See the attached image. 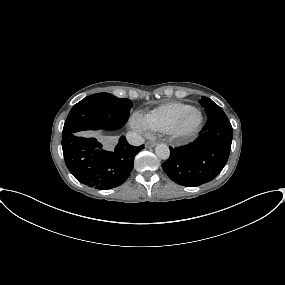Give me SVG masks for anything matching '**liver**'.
I'll return each instance as SVG.
<instances>
[{
  "label": "liver",
  "instance_id": "liver-1",
  "mask_svg": "<svg viewBox=\"0 0 285 285\" xmlns=\"http://www.w3.org/2000/svg\"><path fill=\"white\" fill-rule=\"evenodd\" d=\"M83 135L96 137L103 144H108L112 140L110 137L102 136L100 132H86Z\"/></svg>",
  "mask_w": 285,
  "mask_h": 285
}]
</instances>
